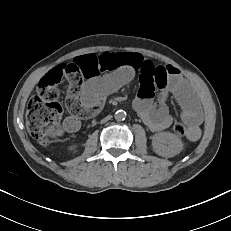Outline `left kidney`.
Wrapping results in <instances>:
<instances>
[{
    "instance_id": "obj_1",
    "label": "left kidney",
    "mask_w": 231,
    "mask_h": 231,
    "mask_svg": "<svg viewBox=\"0 0 231 231\" xmlns=\"http://www.w3.org/2000/svg\"><path fill=\"white\" fill-rule=\"evenodd\" d=\"M154 152L162 157H174L183 150L181 139L170 132H159L152 137Z\"/></svg>"
}]
</instances>
